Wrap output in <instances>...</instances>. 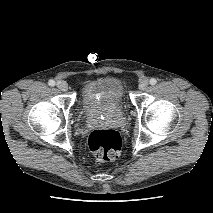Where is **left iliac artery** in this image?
Instances as JSON below:
<instances>
[{"mask_svg": "<svg viewBox=\"0 0 213 213\" xmlns=\"http://www.w3.org/2000/svg\"><path fill=\"white\" fill-rule=\"evenodd\" d=\"M157 83V80L155 78L150 79V84L155 85Z\"/></svg>", "mask_w": 213, "mask_h": 213, "instance_id": "44dca946", "label": "left iliac artery"}]
</instances>
